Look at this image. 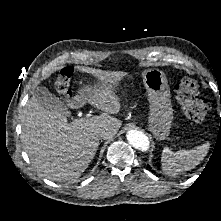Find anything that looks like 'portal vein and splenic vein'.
<instances>
[{
  "label": "portal vein and splenic vein",
  "mask_w": 221,
  "mask_h": 221,
  "mask_svg": "<svg viewBox=\"0 0 221 221\" xmlns=\"http://www.w3.org/2000/svg\"><path fill=\"white\" fill-rule=\"evenodd\" d=\"M89 117H91V114H90V113H88V114L86 115V118H89Z\"/></svg>",
  "instance_id": "18ae733b"
}]
</instances>
